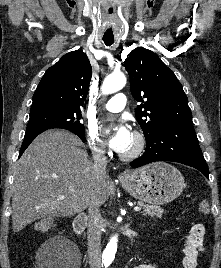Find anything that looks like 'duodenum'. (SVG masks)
<instances>
[{"mask_svg":"<svg viewBox=\"0 0 221 268\" xmlns=\"http://www.w3.org/2000/svg\"><path fill=\"white\" fill-rule=\"evenodd\" d=\"M87 225V216L84 214L78 215L73 222V231L78 239L82 238L83 231Z\"/></svg>","mask_w":221,"mask_h":268,"instance_id":"410a0bca","label":"duodenum"}]
</instances>
